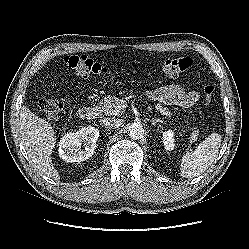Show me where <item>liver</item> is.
I'll list each match as a JSON object with an SVG mask.
<instances>
[{
  "mask_svg": "<svg viewBox=\"0 0 249 249\" xmlns=\"http://www.w3.org/2000/svg\"><path fill=\"white\" fill-rule=\"evenodd\" d=\"M18 128L23 145L38 171L58 180V171L54 168L51 160L52 150L56 143L51 124L36 116L28 107L23 106Z\"/></svg>",
  "mask_w": 249,
  "mask_h": 249,
  "instance_id": "liver-1",
  "label": "liver"
}]
</instances>
